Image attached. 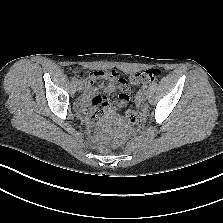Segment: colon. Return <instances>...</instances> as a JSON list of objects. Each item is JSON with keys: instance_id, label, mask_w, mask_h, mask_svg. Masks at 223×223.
Wrapping results in <instances>:
<instances>
[{"instance_id": "1", "label": "colon", "mask_w": 223, "mask_h": 223, "mask_svg": "<svg viewBox=\"0 0 223 223\" xmlns=\"http://www.w3.org/2000/svg\"><path fill=\"white\" fill-rule=\"evenodd\" d=\"M159 74V70L158 69H147L144 70L136 75H134L131 78V83H151L154 81V78ZM95 75H99L105 79H109L110 81L116 80V77L114 76V74H110V73H96ZM122 81L123 84H125L126 82L124 80H119ZM121 99L127 100L128 96L125 94H121L120 95ZM128 118L130 120V122L134 125H139L143 122L144 118H145V113L142 111H131L128 114Z\"/></svg>"}]
</instances>
